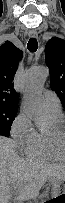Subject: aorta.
Returning a JSON list of instances; mask_svg holds the SVG:
<instances>
[{"label": "aorta", "mask_w": 65, "mask_h": 203, "mask_svg": "<svg viewBox=\"0 0 65 203\" xmlns=\"http://www.w3.org/2000/svg\"><path fill=\"white\" fill-rule=\"evenodd\" d=\"M47 75V71L45 68H40L34 74V82L36 85L43 82ZM30 102V112L31 115L39 127H46L49 124L50 117L42 103L40 96L37 92H32L29 96Z\"/></svg>", "instance_id": "1"}]
</instances>
